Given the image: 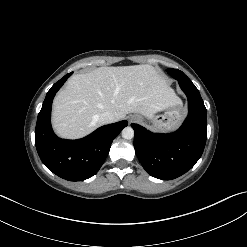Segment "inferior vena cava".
I'll return each mask as SVG.
<instances>
[{
	"mask_svg": "<svg viewBox=\"0 0 247 247\" xmlns=\"http://www.w3.org/2000/svg\"><path fill=\"white\" fill-rule=\"evenodd\" d=\"M114 120H115V117L110 112H104V113L100 114V116L98 118V121L102 125L112 123V122H114Z\"/></svg>",
	"mask_w": 247,
	"mask_h": 247,
	"instance_id": "obj_1",
	"label": "inferior vena cava"
}]
</instances>
